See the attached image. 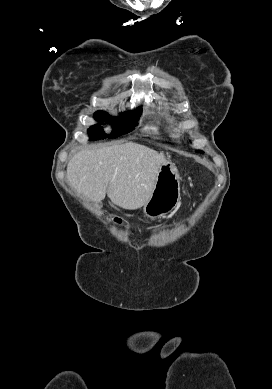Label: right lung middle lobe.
<instances>
[{
  "mask_svg": "<svg viewBox=\"0 0 272 389\" xmlns=\"http://www.w3.org/2000/svg\"><path fill=\"white\" fill-rule=\"evenodd\" d=\"M140 110L137 109L133 112L123 113L119 119L111 118L106 112L97 111L94 115L95 119L98 121L109 120L113 124V131L109 135L104 133L103 128L100 125L91 126L88 129V134L91 140L102 139L106 137L116 138L123 134L130 132L136 125L138 121Z\"/></svg>",
  "mask_w": 272,
  "mask_h": 389,
  "instance_id": "dd1d6c3e",
  "label": "right lung middle lobe"
}]
</instances>
